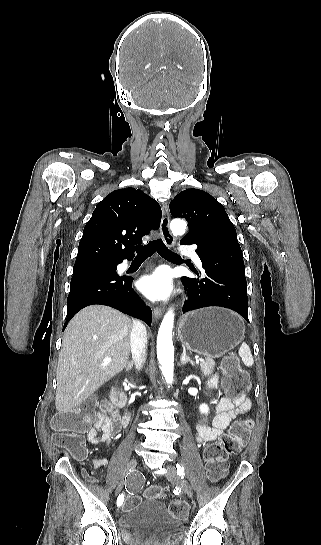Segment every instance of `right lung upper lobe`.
Masks as SVG:
<instances>
[{
  "instance_id": "obj_1",
  "label": "right lung upper lobe",
  "mask_w": 321,
  "mask_h": 545,
  "mask_svg": "<svg viewBox=\"0 0 321 545\" xmlns=\"http://www.w3.org/2000/svg\"><path fill=\"white\" fill-rule=\"evenodd\" d=\"M160 221L159 204L143 191H113L97 204L86 224L73 268L117 265L133 258V246L158 229Z\"/></svg>"
}]
</instances>
